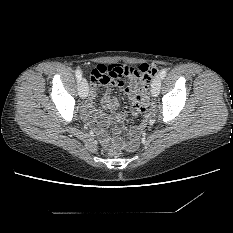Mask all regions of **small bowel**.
Instances as JSON below:
<instances>
[{"mask_svg":"<svg viewBox=\"0 0 233 233\" xmlns=\"http://www.w3.org/2000/svg\"><path fill=\"white\" fill-rule=\"evenodd\" d=\"M98 66L105 68L110 76L109 81L105 83L106 90L101 100L102 108L110 111H115L119 108L118 100L114 98L111 94V89L113 87H117L119 89H122L132 102V109L130 111V115L133 118H139L145 111L146 104L139 102L137 96L140 91L143 92L145 90L147 82L140 81L138 80V78H131L128 85L125 86V83L122 80V74L124 71V67L122 64H99ZM97 86V82H94L91 86L88 101L84 109V115L87 118L92 119L94 122H97L99 119L103 117L102 111L98 110L95 104ZM124 116H126L125 112L114 113L110 115L108 119L111 121H118L122 119ZM142 129L143 126L140 125L133 127L127 133L115 131L112 135H109L106 132L99 130L98 137L102 144L127 141L132 148H135L137 146L138 137Z\"/></svg>","mask_w":233,"mask_h":233,"instance_id":"c3829d8e","label":"small bowel"}]
</instances>
